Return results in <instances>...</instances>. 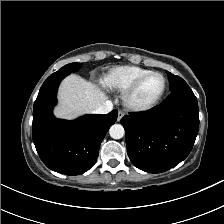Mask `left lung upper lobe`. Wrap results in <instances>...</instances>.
Wrapping results in <instances>:
<instances>
[{
  "mask_svg": "<svg viewBox=\"0 0 224 224\" xmlns=\"http://www.w3.org/2000/svg\"><path fill=\"white\" fill-rule=\"evenodd\" d=\"M166 73L168 74L171 91H174L175 89H178L182 86L187 85L186 82L182 78L175 76L168 71H166Z\"/></svg>",
  "mask_w": 224,
  "mask_h": 224,
  "instance_id": "5c2ea615",
  "label": "left lung upper lobe"
}]
</instances>
